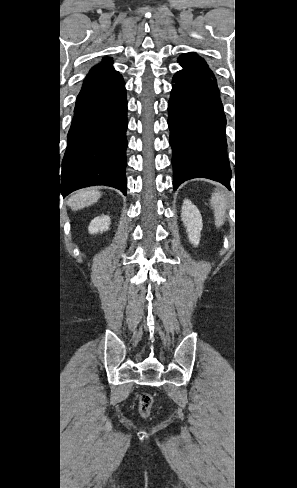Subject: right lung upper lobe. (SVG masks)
Here are the masks:
<instances>
[{
    "label": "right lung upper lobe",
    "instance_id": "obj_1",
    "mask_svg": "<svg viewBox=\"0 0 297 488\" xmlns=\"http://www.w3.org/2000/svg\"><path fill=\"white\" fill-rule=\"evenodd\" d=\"M119 75L118 71L112 67V59L104 58L103 61L97 66H94L86 76L77 100L94 94Z\"/></svg>",
    "mask_w": 297,
    "mask_h": 488
}]
</instances>
